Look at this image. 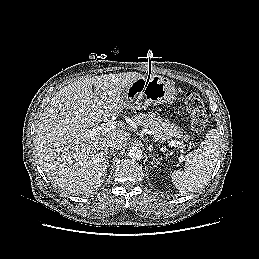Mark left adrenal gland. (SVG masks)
I'll list each match as a JSON object with an SVG mask.
<instances>
[{
    "instance_id": "1",
    "label": "left adrenal gland",
    "mask_w": 259,
    "mask_h": 259,
    "mask_svg": "<svg viewBox=\"0 0 259 259\" xmlns=\"http://www.w3.org/2000/svg\"><path fill=\"white\" fill-rule=\"evenodd\" d=\"M158 163H159V161H156V158L154 157V155H152V162H151V164L153 166H156Z\"/></svg>"
}]
</instances>
